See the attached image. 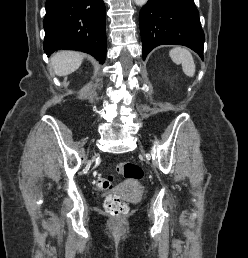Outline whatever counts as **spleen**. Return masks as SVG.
Here are the masks:
<instances>
[{"mask_svg": "<svg viewBox=\"0 0 248 258\" xmlns=\"http://www.w3.org/2000/svg\"><path fill=\"white\" fill-rule=\"evenodd\" d=\"M169 55L173 62L181 64L183 72L188 77H193L195 74V63L190 51L186 48L175 47L170 50Z\"/></svg>", "mask_w": 248, "mask_h": 258, "instance_id": "obj_1", "label": "spleen"}]
</instances>
